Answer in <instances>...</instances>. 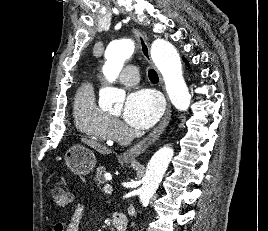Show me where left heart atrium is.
Instances as JSON below:
<instances>
[{"label":"left heart atrium","mask_w":268,"mask_h":231,"mask_svg":"<svg viewBox=\"0 0 268 231\" xmlns=\"http://www.w3.org/2000/svg\"><path fill=\"white\" fill-rule=\"evenodd\" d=\"M163 112V103L159 95L150 89H138L130 92L123 110L125 122L138 129L154 125Z\"/></svg>","instance_id":"left-heart-atrium-1"}]
</instances>
